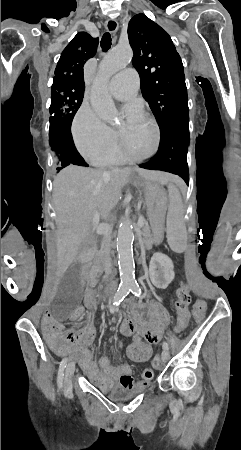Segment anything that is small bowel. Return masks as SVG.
<instances>
[{
	"label": "small bowel",
	"mask_w": 241,
	"mask_h": 450,
	"mask_svg": "<svg viewBox=\"0 0 241 450\" xmlns=\"http://www.w3.org/2000/svg\"><path fill=\"white\" fill-rule=\"evenodd\" d=\"M86 293L84 298L85 305L93 310L95 308L96 293L93 290V284H86ZM151 303V302H150ZM156 312V316H147L144 322L147 325H156V327H149L148 331L140 330L139 324H128L131 320H125L121 325V331L124 335H133V341L128 345L126 354L128 358L137 363H142L143 360H148L149 355L153 354V348L151 344H155L161 337V330H166L170 323V318L166 315L165 310L161 304L152 307ZM39 319H52V310H39ZM44 334L47 335L46 342L51 346L58 342V337L54 334L56 331L53 328L58 326L56 321L46 320L43 322ZM180 332L182 330H175ZM65 338L68 341H72L75 344L73 351L68 345L57 347L61 355H68L74 353L78 358L80 365L88 376V378L95 384H97L103 390H108L112 387L116 380H119L120 385L124 389L132 390L137 387L144 388L150 385L154 378V372L152 369H145L142 372L141 381L135 383L131 377V368L127 363H120L118 365H112L108 357H101L98 362H94L87 350V347L91 344L94 338L95 329L93 324H87L85 327L79 330L69 327L66 329ZM134 333V334H132ZM157 337L155 342H151L148 337ZM121 356L118 358L120 359Z\"/></svg>",
	"instance_id": "obj_1"
}]
</instances>
